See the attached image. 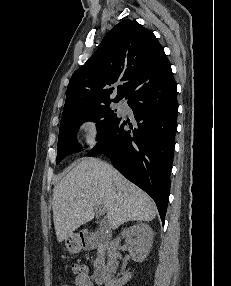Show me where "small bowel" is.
<instances>
[{
  "mask_svg": "<svg viewBox=\"0 0 231 286\" xmlns=\"http://www.w3.org/2000/svg\"><path fill=\"white\" fill-rule=\"evenodd\" d=\"M72 270L75 275V286H94L86 265L74 263Z\"/></svg>",
  "mask_w": 231,
  "mask_h": 286,
  "instance_id": "c3829d8e",
  "label": "small bowel"
}]
</instances>
